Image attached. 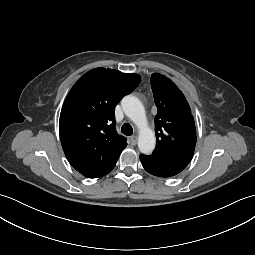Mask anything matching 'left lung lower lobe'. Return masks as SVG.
<instances>
[{
	"label": "left lung lower lobe",
	"mask_w": 255,
	"mask_h": 255,
	"mask_svg": "<svg viewBox=\"0 0 255 255\" xmlns=\"http://www.w3.org/2000/svg\"><path fill=\"white\" fill-rule=\"evenodd\" d=\"M193 154H171L167 156L140 155L144 169L158 177L169 178L179 174L191 161Z\"/></svg>",
	"instance_id": "left-lung-lower-lobe-1"
}]
</instances>
